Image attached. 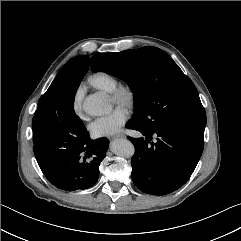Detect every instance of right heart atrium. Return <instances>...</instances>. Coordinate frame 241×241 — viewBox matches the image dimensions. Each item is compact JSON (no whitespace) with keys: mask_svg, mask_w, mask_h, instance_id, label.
I'll use <instances>...</instances> for the list:
<instances>
[{"mask_svg":"<svg viewBox=\"0 0 241 241\" xmlns=\"http://www.w3.org/2000/svg\"><path fill=\"white\" fill-rule=\"evenodd\" d=\"M73 109L76 112V114H80L82 111V90L79 89L73 100Z\"/></svg>","mask_w":241,"mask_h":241,"instance_id":"1","label":"right heart atrium"}]
</instances>
